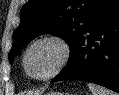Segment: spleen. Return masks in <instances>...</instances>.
<instances>
[{
	"instance_id": "3e777b00",
	"label": "spleen",
	"mask_w": 119,
	"mask_h": 95,
	"mask_svg": "<svg viewBox=\"0 0 119 95\" xmlns=\"http://www.w3.org/2000/svg\"><path fill=\"white\" fill-rule=\"evenodd\" d=\"M88 87L91 90L92 95H119L111 90H108L102 86L93 83H89Z\"/></svg>"
}]
</instances>
